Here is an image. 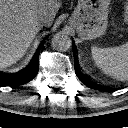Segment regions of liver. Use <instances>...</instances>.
I'll return each mask as SVG.
<instances>
[{
	"label": "liver",
	"instance_id": "obj_1",
	"mask_svg": "<svg viewBox=\"0 0 128 128\" xmlns=\"http://www.w3.org/2000/svg\"><path fill=\"white\" fill-rule=\"evenodd\" d=\"M61 0H0V69L21 59L41 30L39 20L46 12L50 26Z\"/></svg>",
	"mask_w": 128,
	"mask_h": 128
}]
</instances>
